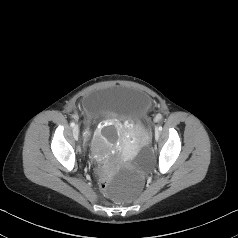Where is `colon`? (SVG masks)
Returning a JSON list of instances; mask_svg holds the SVG:
<instances>
[{
    "mask_svg": "<svg viewBox=\"0 0 238 238\" xmlns=\"http://www.w3.org/2000/svg\"><path fill=\"white\" fill-rule=\"evenodd\" d=\"M161 118L160 117H157V121H160ZM99 188L101 190H106L108 188V183H107V180L106 179H102L99 183Z\"/></svg>",
    "mask_w": 238,
    "mask_h": 238,
    "instance_id": "5ec220e1",
    "label": "colon"
}]
</instances>
